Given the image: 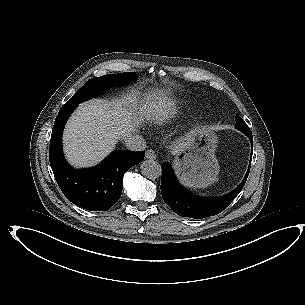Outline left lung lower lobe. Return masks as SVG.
Listing matches in <instances>:
<instances>
[{"instance_id": "0a47b994", "label": "left lung lower lobe", "mask_w": 305, "mask_h": 305, "mask_svg": "<svg viewBox=\"0 0 305 305\" xmlns=\"http://www.w3.org/2000/svg\"><path fill=\"white\" fill-rule=\"evenodd\" d=\"M242 187L233 191V197L228 203L213 204L211 198L198 197L184 190L178 183L170 164L165 163L162 166L161 193L163 200L176 214L182 217L205 218L217 215L231 204Z\"/></svg>"}]
</instances>
